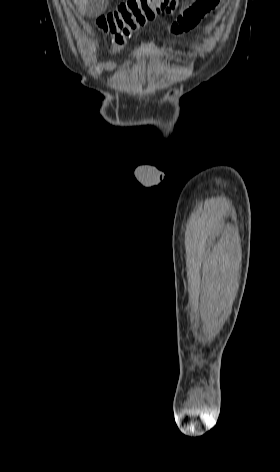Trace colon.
Returning a JSON list of instances; mask_svg holds the SVG:
<instances>
[{
  "instance_id": "colon-1",
  "label": "colon",
  "mask_w": 280,
  "mask_h": 472,
  "mask_svg": "<svg viewBox=\"0 0 280 472\" xmlns=\"http://www.w3.org/2000/svg\"><path fill=\"white\" fill-rule=\"evenodd\" d=\"M183 0H127L120 3L111 12L99 17L96 25L112 40V50L120 51L126 38L131 33L152 21L160 14L176 11ZM218 0L206 1L207 7H213Z\"/></svg>"
}]
</instances>
